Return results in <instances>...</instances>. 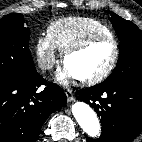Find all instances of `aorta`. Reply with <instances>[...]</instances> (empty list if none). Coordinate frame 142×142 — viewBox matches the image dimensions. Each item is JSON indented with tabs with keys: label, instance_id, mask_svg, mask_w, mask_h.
<instances>
[{
	"label": "aorta",
	"instance_id": "1",
	"mask_svg": "<svg viewBox=\"0 0 142 142\" xmlns=\"http://www.w3.org/2000/svg\"><path fill=\"white\" fill-rule=\"evenodd\" d=\"M71 111L80 127L91 137L100 134L99 120L93 109L83 101H77L71 107Z\"/></svg>",
	"mask_w": 142,
	"mask_h": 142
}]
</instances>
